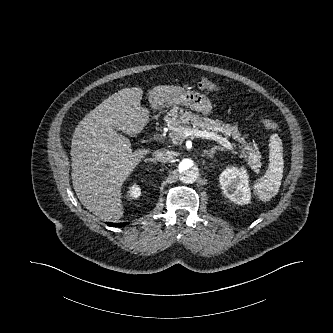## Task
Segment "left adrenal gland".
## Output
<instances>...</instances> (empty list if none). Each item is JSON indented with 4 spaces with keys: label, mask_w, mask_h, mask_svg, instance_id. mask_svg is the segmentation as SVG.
<instances>
[{
    "label": "left adrenal gland",
    "mask_w": 333,
    "mask_h": 333,
    "mask_svg": "<svg viewBox=\"0 0 333 333\" xmlns=\"http://www.w3.org/2000/svg\"><path fill=\"white\" fill-rule=\"evenodd\" d=\"M216 150H222V148L217 147V146L213 147V148L207 153L208 156L211 157V158H213L214 153L216 152Z\"/></svg>",
    "instance_id": "a2214340"
}]
</instances>
